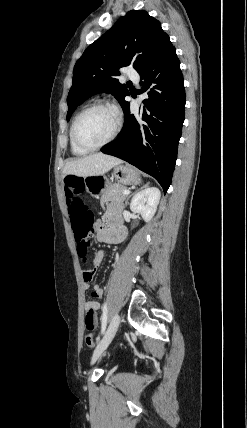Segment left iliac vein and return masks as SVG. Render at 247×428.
<instances>
[{
    "instance_id": "1",
    "label": "left iliac vein",
    "mask_w": 247,
    "mask_h": 428,
    "mask_svg": "<svg viewBox=\"0 0 247 428\" xmlns=\"http://www.w3.org/2000/svg\"><path fill=\"white\" fill-rule=\"evenodd\" d=\"M120 324V316L118 314H115L108 326V329L106 333L104 334L103 338L97 345L96 349L94 350L91 363H95V361L99 358V356L106 350L108 345L111 343L112 339L114 338L117 329Z\"/></svg>"
}]
</instances>
